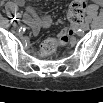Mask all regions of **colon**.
Segmentation results:
<instances>
[{"label": "colon", "instance_id": "colon-1", "mask_svg": "<svg viewBox=\"0 0 103 103\" xmlns=\"http://www.w3.org/2000/svg\"><path fill=\"white\" fill-rule=\"evenodd\" d=\"M86 10V2L83 0H75L70 4L69 7V20L71 22V27L69 30L63 31L57 38H48L46 39L40 49L42 56H49L52 54L58 47L64 46L69 42L71 36H73L79 25L82 23Z\"/></svg>", "mask_w": 103, "mask_h": 103}]
</instances>
